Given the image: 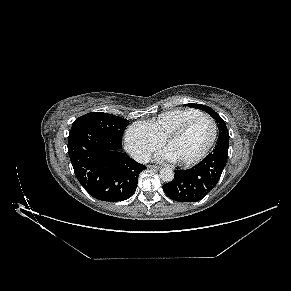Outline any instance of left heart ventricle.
Returning a JSON list of instances; mask_svg holds the SVG:
<instances>
[{
  "mask_svg": "<svg viewBox=\"0 0 291 291\" xmlns=\"http://www.w3.org/2000/svg\"><path fill=\"white\" fill-rule=\"evenodd\" d=\"M212 136V124L200 119L192 124L184 134L171 141L166 149L177 161H187L199 155Z\"/></svg>",
  "mask_w": 291,
  "mask_h": 291,
  "instance_id": "b2bd125f",
  "label": "left heart ventricle"
}]
</instances>
